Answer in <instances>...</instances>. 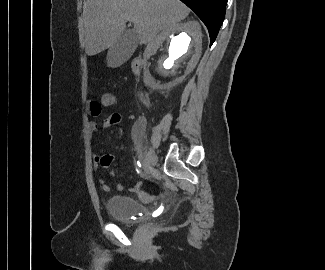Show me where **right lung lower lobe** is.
Segmentation results:
<instances>
[{
	"label": "right lung lower lobe",
	"mask_w": 325,
	"mask_h": 270,
	"mask_svg": "<svg viewBox=\"0 0 325 270\" xmlns=\"http://www.w3.org/2000/svg\"><path fill=\"white\" fill-rule=\"evenodd\" d=\"M206 25L210 35V46L215 41L225 17L227 0H181Z\"/></svg>",
	"instance_id": "right-lung-lower-lobe-1"
}]
</instances>
